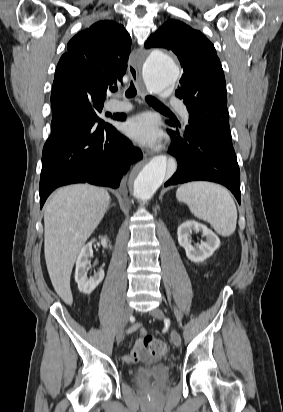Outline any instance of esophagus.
Listing matches in <instances>:
<instances>
[{
	"label": "esophagus",
	"mask_w": 283,
	"mask_h": 412,
	"mask_svg": "<svg viewBox=\"0 0 283 412\" xmlns=\"http://www.w3.org/2000/svg\"><path fill=\"white\" fill-rule=\"evenodd\" d=\"M141 61L138 59H130L128 63V72L131 79L135 82L138 87V92L141 97L147 96L148 92L146 91L142 78H141ZM152 154V153H150Z\"/></svg>",
	"instance_id": "esophagus-1"
}]
</instances>
